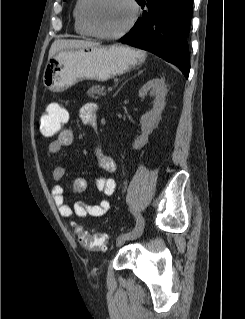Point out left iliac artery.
Instances as JSON below:
<instances>
[{"mask_svg":"<svg viewBox=\"0 0 245 319\" xmlns=\"http://www.w3.org/2000/svg\"><path fill=\"white\" fill-rule=\"evenodd\" d=\"M135 217H136V226L135 228L130 231L125 233L127 236H133L134 234L141 232L144 228V219L140 214L134 213Z\"/></svg>","mask_w":245,"mask_h":319,"instance_id":"1","label":"left iliac artery"}]
</instances>
